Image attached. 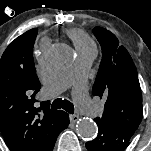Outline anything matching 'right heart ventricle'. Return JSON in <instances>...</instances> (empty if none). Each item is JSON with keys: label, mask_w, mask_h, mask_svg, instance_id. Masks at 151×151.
<instances>
[{"label": "right heart ventricle", "mask_w": 151, "mask_h": 151, "mask_svg": "<svg viewBox=\"0 0 151 151\" xmlns=\"http://www.w3.org/2000/svg\"><path fill=\"white\" fill-rule=\"evenodd\" d=\"M67 34L72 40L77 51L95 48L93 40L82 30L69 29Z\"/></svg>", "instance_id": "right-heart-ventricle-1"}]
</instances>
